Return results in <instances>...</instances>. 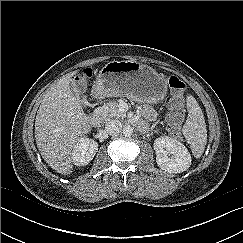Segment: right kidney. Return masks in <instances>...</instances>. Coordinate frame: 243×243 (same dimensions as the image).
Instances as JSON below:
<instances>
[{"label":"right kidney","instance_id":"obj_1","mask_svg":"<svg viewBox=\"0 0 243 243\" xmlns=\"http://www.w3.org/2000/svg\"><path fill=\"white\" fill-rule=\"evenodd\" d=\"M98 143L92 139L80 137L72 153V161L76 166L87 165L95 156Z\"/></svg>","mask_w":243,"mask_h":243}]
</instances>
